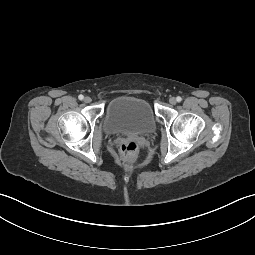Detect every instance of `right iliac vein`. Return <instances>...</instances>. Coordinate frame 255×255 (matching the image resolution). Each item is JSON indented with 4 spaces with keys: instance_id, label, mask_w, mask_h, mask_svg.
<instances>
[{
    "instance_id": "1",
    "label": "right iliac vein",
    "mask_w": 255,
    "mask_h": 255,
    "mask_svg": "<svg viewBox=\"0 0 255 255\" xmlns=\"http://www.w3.org/2000/svg\"><path fill=\"white\" fill-rule=\"evenodd\" d=\"M91 101H92V99L88 96L84 98L85 103H90Z\"/></svg>"
}]
</instances>
